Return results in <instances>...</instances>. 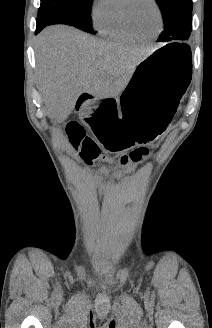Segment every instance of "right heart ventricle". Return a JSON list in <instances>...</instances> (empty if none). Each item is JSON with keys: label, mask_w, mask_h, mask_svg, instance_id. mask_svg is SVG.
Masks as SVG:
<instances>
[{"label": "right heart ventricle", "mask_w": 212, "mask_h": 328, "mask_svg": "<svg viewBox=\"0 0 212 328\" xmlns=\"http://www.w3.org/2000/svg\"><path fill=\"white\" fill-rule=\"evenodd\" d=\"M126 0H100L94 11V24L99 33L107 38L135 42L142 36L127 24L124 14Z\"/></svg>", "instance_id": "e07e8e85"}]
</instances>
